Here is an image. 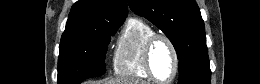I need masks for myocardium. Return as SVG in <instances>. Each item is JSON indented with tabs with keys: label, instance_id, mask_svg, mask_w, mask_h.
Segmentation results:
<instances>
[{
	"label": "myocardium",
	"instance_id": "obj_1",
	"mask_svg": "<svg viewBox=\"0 0 260 84\" xmlns=\"http://www.w3.org/2000/svg\"><path fill=\"white\" fill-rule=\"evenodd\" d=\"M159 40H163L169 45V47L172 51V54H173V59H174V69H173L172 76L170 77V79H168L166 81L159 80L156 77V75L153 71V67H152L153 49ZM144 67H145V70H146L147 74L149 75L150 79H152L156 83L169 84V83H172L176 79L179 69H180V58H179V54H178L176 45L174 44V42L172 41V39L169 36H167L164 33H154L147 39L146 44H145V49H144Z\"/></svg>",
	"mask_w": 260,
	"mask_h": 84
}]
</instances>
